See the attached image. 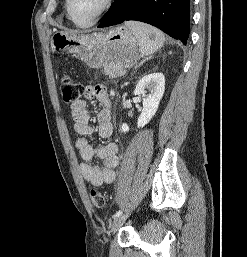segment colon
<instances>
[{"label": "colon", "mask_w": 247, "mask_h": 257, "mask_svg": "<svg viewBox=\"0 0 247 257\" xmlns=\"http://www.w3.org/2000/svg\"><path fill=\"white\" fill-rule=\"evenodd\" d=\"M60 87L63 100L66 103L73 104L79 100L82 93V86L77 83L71 76L64 74L60 80ZM90 199L96 208H102L105 205V198L103 194L96 189H92L90 191Z\"/></svg>", "instance_id": "1"}]
</instances>
